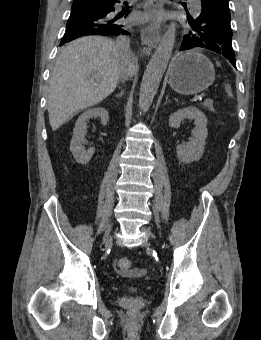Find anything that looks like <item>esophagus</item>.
<instances>
[{
  "mask_svg": "<svg viewBox=\"0 0 261 340\" xmlns=\"http://www.w3.org/2000/svg\"><path fill=\"white\" fill-rule=\"evenodd\" d=\"M165 0H150V4L145 6L146 12L150 15L161 14L164 10ZM141 39L144 43L145 51L157 46L160 41V28L156 23L145 26L141 29Z\"/></svg>",
  "mask_w": 261,
  "mask_h": 340,
  "instance_id": "34e87169",
  "label": "esophagus"
}]
</instances>
